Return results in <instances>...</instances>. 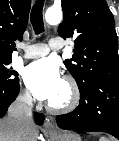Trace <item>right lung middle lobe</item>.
Listing matches in <instances>:
<instances>
[{"label": "right lung middle lobe", "mask_w": 119, "mask_h": 141, "mask_svg": "<svg viewBox=\"0 0 119 141\" xmlns=\"http://www.w3.org/2000/svg\"><path fill=\"white\" fill-rule=\"evenodd\" d=\"M12 58H0V87L9 88L19 82L18 73L9 65Z\"/></svg>", "instance_id": "obj_1"}]
</instances>
